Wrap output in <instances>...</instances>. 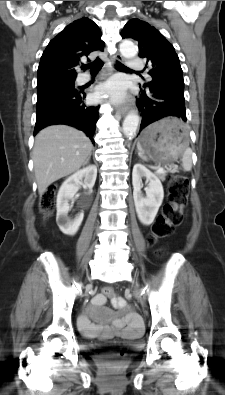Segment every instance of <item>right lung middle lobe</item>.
<instances>
[{
  "instance_id": "right-lung-middle-lobe-1",
  "label": "right lung middle lobe",
  "mask_w": 225,
  "mask_h": 395,
  "mask_svg": "<svg viewBox=\"0 0 225 395\" xmlns=\"http://www.w3.org/2000/svg\"><path fill=\"white\" fill-rule=\"evenodd\" d=\"M75 80H70V81H64V82H59L55 84H50L42 87H38V93H37V101L42 100L49 94L59 91V90H74L75 85H74Z\"/></svg>"
}]
</instances>
